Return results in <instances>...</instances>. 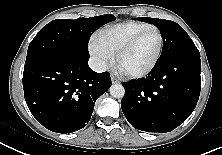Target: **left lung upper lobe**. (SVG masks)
I'll return each instance as SVG.
<instances>
[{
  "instance_id": "left-lung-upper-lobe-1",
  "label": "left lung upper lobe",
  "mask_w": 222,
  "mask_h": 155,
  "mask_svg": "<svg viewBox=\"0 0 222 155\" xmlns=\"http://www.w3.org/2000/svg\"><path fill=\"white\" fill-rule=\"evenodd\" d=\"M138 20L152 23L161 30L163 49L161 56L157 61L180 54L200 55L194 42L177 23L170 20L148 17H139Z\"/></svg>"
}]
</instances>
